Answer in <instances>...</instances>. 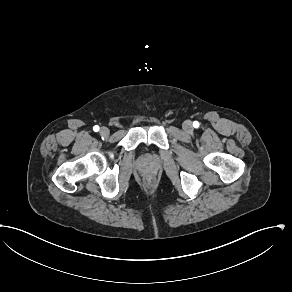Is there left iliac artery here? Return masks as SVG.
I'll return each mask as SVG.
<instances>
[{"label":"left iliac artery","mask_w":292,"mask_h":292,"mask_svg":"<svg viewBox=\"0 0 292 292\" xmlns=\"http://www.w3.org/2000/svg\"><path fill=\"white\" fill-rule=\"evenodd\" d=\"M193 126H194L195 128H198V127H199V122H198V121H194V122H193Z\"/></svg>","instance_id":"left-iliac-artery-1"}]
</instances>
